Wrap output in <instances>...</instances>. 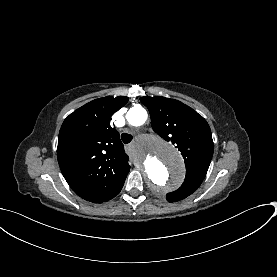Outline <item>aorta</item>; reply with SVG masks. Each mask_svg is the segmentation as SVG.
Segmentation results:
<instances>
[{
  "label": "aorta",
  "instance_id": "1",
  "mask_svg": "<svg viewBox=\"0 0 277 277\" xmlns=\"http://www.w3.org/2000/svg\"><path fill=\"white\" fill-rule=\"evenodd\" d=\"M126 118L130 125L141 126L147 120V112L142 106L133 107ZM134 161L157 195L179 185L184 177V162L180 153L156 135H145L139 140Z\"/></svg>",
  "mask_w": 277,
  "mask_h": 277
}]
</instances>
